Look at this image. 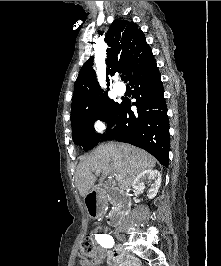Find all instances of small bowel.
<instances>
[{
	"mask_svg": "<svg viewBox=\"0 0 221 266\" xmlns=\"http://www.w3.org/2000/svg\"><path fill=\"white\" fill-rule=\"evenodd\" d=\"M101 235L94 233L95 238ZM101 245L96 247V257L92 261H81L80 266H100L106 258L110 266H140V264L133 258H126L116 251H108Z\"/></svg>",
	"mask_w": 221,
	"mask_h": 266,
	"instance_id": "small-bowel-1",
	"label": "small bowel"
}]
</instances>
